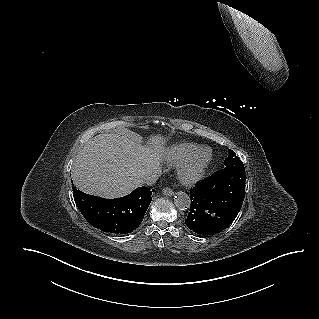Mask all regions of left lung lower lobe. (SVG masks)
Wrapping results in <instances>:
<instances>
[{
  "mask_svg": "<svg viewBox=\"0 0 319 319\" xmlns=\"http://www.w3.org/2000/svg\"><path fill=\"white\" fill-rule=\"evenodd\" d=\"M245 170L221 169L191 189L186 225L197 234L226 229L238 215L245 197Z\"/></svg>",
  "mask_w": 319,
  "mask_h": 319,
  "instance_id": "0a47b994",
  "label": "left lung lower lobe"
}]
</instances>
